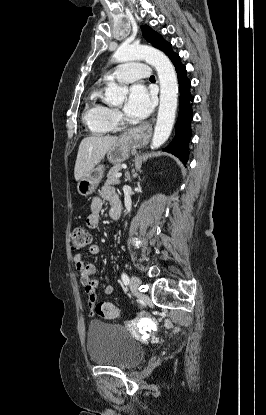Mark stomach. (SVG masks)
Wrapping results in <instances>:
<instances>
[{"label":"stomach","mask_w":266,"mask_h":415,"mask_svg":"<svg viewBox=\"0 0 266 415\" xmlns=\"http://www.w3.org/2000/svg\"><path fill=\"white\" fill-rule=\"evenodd\" d=\"M133 141L131 138L122 137L114 143L107 151V159L113 164H118L128 159ZM104 166L98 165L87 175L81 178L77 184L79 195L87 197L91 195L97 188L104 176Z\"/></svg>","instance_id":"0dacf381"}]
</instances>
